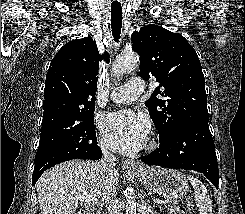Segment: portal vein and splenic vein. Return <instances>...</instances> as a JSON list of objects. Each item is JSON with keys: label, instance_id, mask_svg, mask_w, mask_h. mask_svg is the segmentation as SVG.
I'll return each instance as SVG.
<instances>
[{"label": "portal vein and splenic vein", "instance_id": "18ae733b", "mask_svg": "<svg viewBox=\"0 0 245 214\" xmlns=\"http://www.w3.org/2000/svg\"><path fill=\"white\" fill-rule=\"evenodd\" d=\"M74 198L85 202H98V199L92 195L82 194V195H77ZM153 201L158 204H167L166 201H162L159 199H153Z\"/></svg>", "mask_w": 245, "mask_h": 214}]
</instances>
